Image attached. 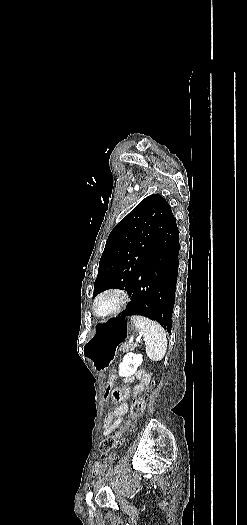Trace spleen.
Segmentation results:
<instances>
[{
  "label": "spleen",
  "instance_id": "1",
  "mask_svg": "<svg viewBox=\"0 0 247 525\" xmlns=\"http://www.w3.org/2000/svg\"><path fill=\"white\" fill-rule=\"evenodd\" d=\"M131 321L135 329L143 335L147 357L151 361H161L167 349L166 333L163 327L155 321H150L146 317H137V315L131 317Z\"/></svg>",
  "mask_w": 247,
  "mask_h": 525
}]
</instances>
